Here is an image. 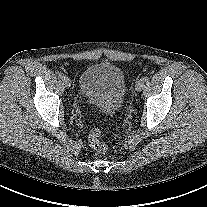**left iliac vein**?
I'll return each mask as SVG.
<instances>
[{"label":"left iliac vein","instance_id":"obj_1","mask_svg":"<svg viewBox=\"0 0 207 207\" xmlns=\"http://www.w3.org/2000/svg\"><path fill=\"white\" fill-rule=\"evenodd\" d=\"M144 82L140 79L136 82L135 88L137 91H141L143 89Z\"/></svg>","mask_w":207,"mask_h":207}]
</instances>
